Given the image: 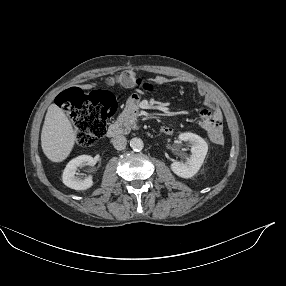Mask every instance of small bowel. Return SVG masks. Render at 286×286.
Returning a JSON list of instances; mask_svg holds the SVG:
<instances>
[{
	"label": "small bowel",
	"mask_w": 286,
	"mask_h": 286,
	"mask_svg": "<svg viewBox=\"0 0 286 286\" xmlns=\"http://www.w3.org/2000/svg\"><path fill=\"white\" fill-rule=\"evenodd\" d=\"M115 83L125 86H140L143 84V81L139 79L135 73L131 71L121 72L119 75L115 77L113 80ZM156 84H164L165 80L163 78H156L154 80ZM198 94L203 98L204 104L206 108L203 110L200 116V126L204 130L205 127L211 123H216L223 127V115L221 110L215 105V100L209 90L203 86H199L197 88ZM161 131L164 134H170L172 132V128L170 126H163Z\"/></svg>",
	"instance_id": "obj_1"
}]
</instances>
